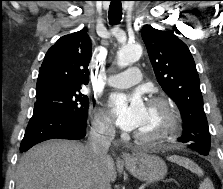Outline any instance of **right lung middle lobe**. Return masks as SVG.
<instances>
[{"label":"right lung middle lobe","mask_w":223,"mask_h":189,"mask_svg":"<svg viewBox=\"0 0 223 189\" xmlns=\"http://www.w3.org/2000/svg\"><path fill=\"white\" fill-rule=\"evenodd\" d=\"M81 88L53 89L36 93L34 109H46L65 113L73 119L84 121L87 118L89 100L81 93Z\"/></svg>","instance_id":"dd1d6c3e"}]
</instances>
